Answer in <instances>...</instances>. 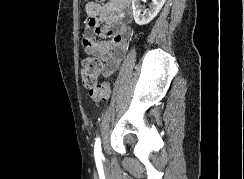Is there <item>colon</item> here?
Here are the masks:
<instances>
[{
  "instance_id": "1",
  "label": "colon",
  "mask_w": 244,
  "mask_h": 179,
  "mask_svg": "<svg viewBox=\"0 0 244 179\" xmlns=\"http://www.w3.org/2000/svg\"><path fill=\"white\" fill-rule=\"evenodd\" d=\"M100 67V61L94 57L86 58L81 62L82 83L89 92L90 100L97 104L107 102L111 94V84L109 82H97Z\"/></svg>"
}]
</instances>
